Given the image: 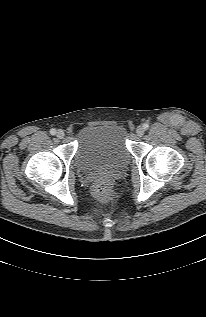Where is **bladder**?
Segmentation results:
<instances>
[{
    "label": "bladder",
    "instance_id": "obj_1",
    "mask_svg": "<svg viewBox=\"0 0 206 317\" xmlns=\"http://www.w3.org/2000/svg\"><path fill=\"white\" fill-rule=\"evenodd\" d=\"M126 130L121 125H89L80 129L75 164L80 172L116 170L129 160Z\"/></svg>",
    "mask_w": 206,
    "mask_h": 317
}]
</instances>
